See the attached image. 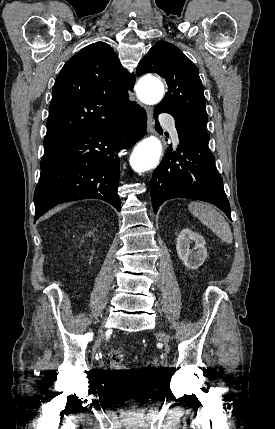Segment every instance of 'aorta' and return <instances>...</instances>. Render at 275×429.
Wrapping results in <instances>:
<instances>
[{"label": "aorta", "instance_id": "aorta-1", "mask_svg": "<svg viewBox=\"0 0 275 429\" xmlns=\"http://www.w3.org/2000/svg\"><path fill=\"white\" fill-rule=\"evenodd\" d=\"M164 96L163 83L154 77L143 78L138 84V97L146 104H157ZM162 145L155 136H150L139 142L134 148L130 162L133 169L142 173L154 168L160 160Z\"/></svg>", "mask_w": 275, "mask_h": 429}]
</instances>
